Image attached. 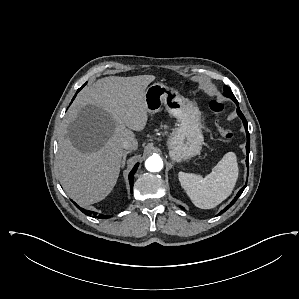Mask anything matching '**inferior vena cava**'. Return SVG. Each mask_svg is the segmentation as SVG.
<instances>
[{
  "label": "inferior vena cava",
  "mask_w": 299,
  "mask_h": 299,
  "mask_svg": "<svg viewBox=\"0 0 299 299\" xmlns=\"http://www.w3.org/2000/svg\"><path fill=\"white\" fill-rule=\"evenodd\" d=\"M122 147L127 150H136L138 147V142L135 138L130 137L122 142Z\"/></svg>",
  "instance_id": "obj_1"
}]
</instances>
